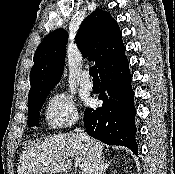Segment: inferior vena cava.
Instances as JSON below:
<instances>
[{"label": "inferior vena cava", "mask_w": 175, "mask_h": 174, "mask_svg": "<svg viewBox=\"0 0 175 174\" xmlns=\"http://www.w3.org/2000/svg\"><path fill=\"white\" fill-rule=\"evenodd\" d=\"M75 132L81 139L84 140L91 155V168L88 171V174H101L103 163L101 152L95 145H93V143L90 140V137L86 133H84L83 130H81L80 128H76Z\"/></svg>", "instance_id": "1"}]
</instances>
